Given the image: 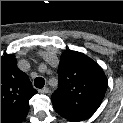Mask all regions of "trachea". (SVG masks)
I'll return each mask as SVG.
<instances>
[{"mask_svg":"<svg viewBox=\"0 0 123 123\" xmlns=\"http://www.w3.org/2000/svg\"><path fill=\"white\" fill-rule=\"evenodd\" d=\"M45 85V80L42 78V77H37L35 80H34V86L36 88H43V86Z\"/></svg>","mask_w":123,"mask_h":123,"instance_id":"1","label":"trachea"}]
</instances>
